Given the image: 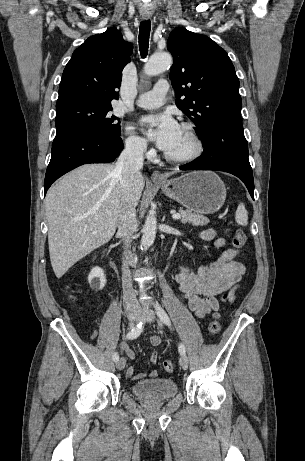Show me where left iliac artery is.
Here are the masks:
<instances>
[{"instance_id":"1","label":"left iliac artery","mask_w":305,"mask_h":461,"mask_svg":"<svg viewBox=\"0 0 305 461\" xmlns=\"http://www.w3.org/2000/svg\"><path fill=\"white\" fill-rule=\"evenodd\" d=\"M156 312H157L158 317L160 318V320H161L164 324H166V325H168V326L171 325V321H170V319H169L167 313H166V312L164 311V309H163L161 306H159L158 304L156 305ZM178 350H179V352H180L181 355L185 354V352H186V351H185V347H184V345H183L182 343L179 344Z\"/></svg>"}]
</instances>
